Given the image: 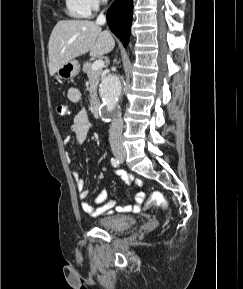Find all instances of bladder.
<instances>
[{
  "mask_svg": "<svg viewBox=\"0 0 243 289\" xmlns=\"http://www.w3.org/2000/svg\"><path fill=\"white\" fill-rule=\"evenodd\" d=\"M136 223L134 217L125 214H108L98 219L100 228L108 231H123L131 228Z\"/></svg>",
  "mask_w": 243,
  "mask_h": 289,
  "instance_id": "obj_1",
  "label": "bladder"
}]
</instances>
